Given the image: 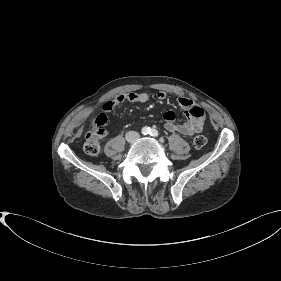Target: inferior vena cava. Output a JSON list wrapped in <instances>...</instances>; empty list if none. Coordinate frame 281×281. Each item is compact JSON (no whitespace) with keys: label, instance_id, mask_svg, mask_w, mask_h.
Instances as JSON below:
<instances>
[{"label":"inferior vena cava","instance_id":"inferior-vena-cava-1","mask_svg":"<svg viewBox=\"0 0 281 281\" xmlns=\"http://www.w3.org/2000/svg\"><path fill=\"white\" fill-rule=\"evenodd\" d=\"M126 140L129 141V142H134L136 141L137 139H139L140 135L138 132L136 131H129L126 133Z\"/></svg>","mask_w":281,"mask_h":281}]
</instances>
